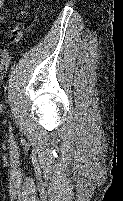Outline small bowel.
<instances>
[{
	"label": "small bowel",
	"mask_w": 123,
	"mask_h": 201,
	"mask_svg": "<svg viewBox=\"0 0 123 201\" xmlns=\"http://www.w3.org/2000/svg\"><path fill=\"white\" fill-rule=\"evenodd\" d=\"M4 0H0V10L2 9ZM22 38V28L19 25H15L11 33V41L13 43H18Z\"/></svg>",
	"instance_id": "1"
}]
</instances>
